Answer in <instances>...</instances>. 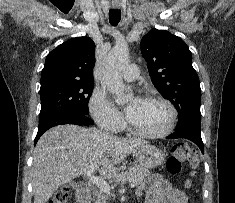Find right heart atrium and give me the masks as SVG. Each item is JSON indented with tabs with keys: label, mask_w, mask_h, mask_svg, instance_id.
<instances>
[{
	"label": "right heart atrium",
	"mask_w": 235,
	"mask_h": 203,
	"mask_svg": "<svg viewBox=\"0 0 235 203\" xmlns=\"http://www.w3.org/2000/svg\"><path fill=\"white\" fill-rule=\"evenodd\" d=\"M89 110L100 127L111 132H116L122 128V114L110 104L102 90H94L90 98Z\"/></svg>",
	"instance_id": "obj_1"
}]
</instances>
